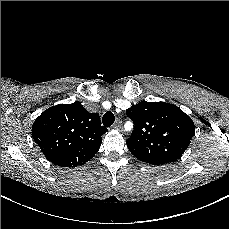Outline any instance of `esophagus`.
<instances>
[{
    "label": "esophagus",
    "mask_w": 229,
    "mask_h": 229,
    "mask_svg": "<svg viewBox=\"0 0 229 229\" xmlns=\"http://www.w3.org/2000/svg\"><path fill=\"white\" fill-rule=\"evenodd\" d=\"M113 128H115V129H117V130H122V129H123V127H122V121L116 120V122H115Z\"/></svg>",
    "instance_id": "34e87169"
}]
</instances>
